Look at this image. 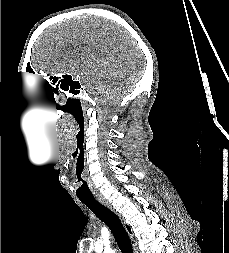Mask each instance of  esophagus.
Returning <instances> with one entry per match:
<instances>
[{
	"mask_svg": "<svg viewBox=\"0 0 229 253\" xmlns=\"http://www.w3.org/2000/svg\"><path fill=\"white\" fill-rule=\"evenodd\" d=\"M96 198H97V200H98L100 203H102L103 205H105V206H107L108 208L111 209L109 203H108L104 198H102L101 196H97Z\"/></svg>",
	"mask_w": 229,
	"mask_h": 253,
	"instance_id": "obj_1",
	"label": "esophagus"
}]
</instances>
